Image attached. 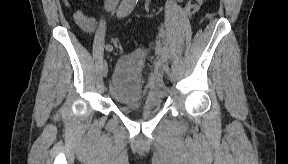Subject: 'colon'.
<instances>
[{"instance_id": "colon-1", "label": "colon", "mask_w": 288, "mask_h": 164, "mask_svg": "<svg viewBox=\"0 0 288 164\" xmlns=\"http://www.w3.org/2000/svg\"><path fill=\"white\" fill-rule=\"evenodd\" d=\"M92 27H93V24H89L87 26V29H91ZM110 42L117 48L114 50L115 51L114 55H120L121 54L120 52H122V45L120 41L115 37H111Z\"/></svg>"}]
</instances>
